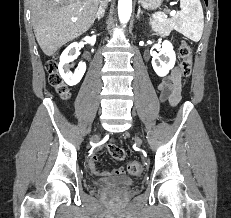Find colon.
Instances as JSON below:
<instances>
[{"instance_id":"5ec220e1","label":"colon","mask_w":231,"mask_h":218,"mask_svg":"<svg viewBox=\"0 0 231 218\" xmlns=\"http://www.w3.org/2000/svg\"><path fill=\"white\" fill-rule=\"evenodd\" d=\"M179 56L181 59V73L184 79H188L191 75L192 71V48L186 41H183L179 47ZM57 61L56 59H52L48 61L46 65V69L49 73V81L52 86H54L57 91L61 94L62 97L68 98L69 91L67 86L62 82L61 77L57 72ZM107 150L110 155L116 160H122L125 157V151L122 147L109 143L107 145ZM127 171L131 175H139L142 172V165L138 161H129L126 164Z\"/></svg>"}]
</instances>
